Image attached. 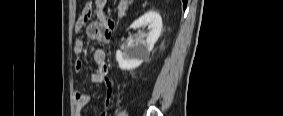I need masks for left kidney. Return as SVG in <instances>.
Wrapping results in <instances>:
<instances>
[{
  "label": "left kidney",
  "instance_id": "1",
  "mask_svg": "<svg viewBox=\"0 0 283 116\" xmlns=\"http://www.w3.org/2000/svg\"><path fill=\"white\" fill-rule=\"evenodd\" d=\"M143 26L150 28L146 39L143 37L137 38L133 43L125 46L123 50L116 51V60L120 69H135L149 58L150 52L161 34L162 18L159 13L151 10L134 21L129 28H140Z\"/></svg>",
  "mask_w": 283,
  "mask_h": 116
}]
</instances>
